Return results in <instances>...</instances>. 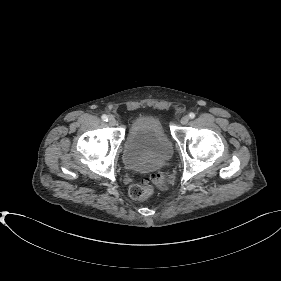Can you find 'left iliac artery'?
Returning a JSON list of instances; mask_svg holds the SVG:
<instances>
[{
	"label": "left iliac artery",
	"mask_w": 281,
	"mask_h": 281,
	"mask_svg": "<svg viewBox=\"0 0 281 281\" xmlns=\"http://www.w3.org/2000/svg\"><path fill=\"white\" fill-rule=\"evenodd\" d=\"M188 116H189V118H190V119L195 118V114H194V113H192V112H191Z\"/></svg>",
	"instance_id": "obj_1"
}]
</instances>
